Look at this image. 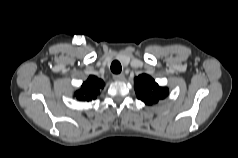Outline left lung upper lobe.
Returning a JSON list of instances; mask_svg holds the SVG:
<instances>
[{
	"mask_svg": "<svg viewBox=\"0 0 238 158\" xmlns=\"http://www.w3.org/2000/svg\"><path fill=\"white\" fill-rule=\"evenodd\" d=\"M135 91L137 98L147 105L157 103L164 99L169 91L168 88L159 87V85L147 74H142L135 78Z\"/></svg>",
	"mask_w": 238,
	"mask_h": 158,
	"instance_id": "left-lung-upper-lobe-1",
	"label": "left lung upper lobe"
}]
</instances>
